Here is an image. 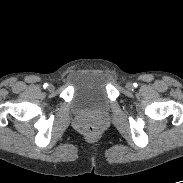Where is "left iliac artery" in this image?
I'll return each mask as SVG.
<instances>
[{"instance_id": "obj_1", "label": "left iliac artery", "mask_w": 183, "mask_h": 183, "mask_svg": "<svg viewBox=\"0 0 183 183\" xmlns=\"http://www.w3.org/2000/svg\"><path fill=\"white\" fill-rule=\"evenodd\" d=\"M133 86L136 88L138 86V84L137 83H134Z\"/></svg>"}]
</instances>
